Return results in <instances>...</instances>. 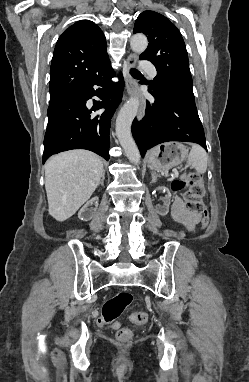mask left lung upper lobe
Returning <instances> with one entry per match:
<instances>
[{
  "mask_svg": "<svg viewBox=\"0 0 249 382\" xmlns=\"http://www.w3.org/2000/svg\"><path fill=\"white\" fill-rule=\"evenodd\" d=\"M138 32L149 41L140 59L152 62L157 70L150 86L195 101L185 43L176 26L157 12L144 11L135 22L133 33Z\"/></svg>",
  "mask_w": 249,
  "mask_h": 382,
  "instance_id": "obj_1",
  "label": "left lung upper lobe"
}]
</instances>
